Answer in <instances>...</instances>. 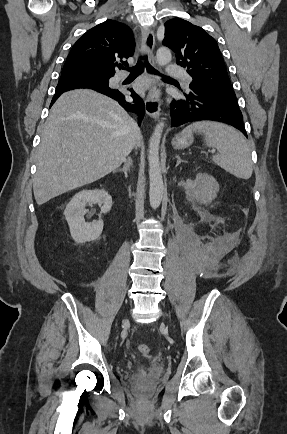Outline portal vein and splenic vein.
Returning a JSON list of instances; mask_svg holds the SVG:
<instances>
[{
    "label": "portal vein and splenic vein",
    "instance_id": "portal-vein-and-splenic-vein-1",
    "mask_svg": "<svg viewBox=\"0 0 287 434\" xmlns=\"http://www.w3.org/2000/svg\"><path fill=\"white\" fill-rule=\"evenodd\" d=\"M215 152V150H211V153H214Z\"/></svg>",
    "mask_w": 287,
    "mask_h": 434
}]
</instances>
